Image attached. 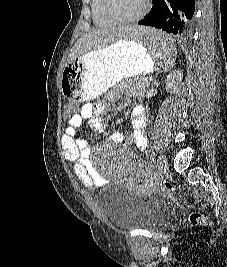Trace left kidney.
Wrapping results in <instances>:
<instances>
[{
    "mask_svg": "<svg viewBox=\"0 0 227 267\" xmlns=\"http://www.w3.org/2000/svg\"><path fill=\"white\" fill-rule=\"evenodd\" d=\"M183 73L179 70L172 71L168 74L165 83H166V91H176L178 89V85L182 80Z\"/></svg>",
    "mask_w": 227,
    "mask_h": 267,
    "instance_id": "1",
    "label": "left kidney"
}]
</instances>
